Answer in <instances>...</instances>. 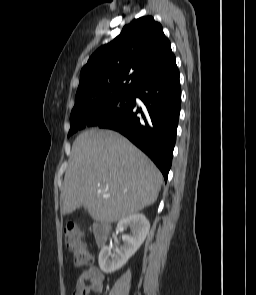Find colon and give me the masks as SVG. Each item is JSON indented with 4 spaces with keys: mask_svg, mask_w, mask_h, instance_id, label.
I'll list each match as a JSON object with an SVG mask.
<instances>
[{
    "mask_svg": "<svg viewBox=\"0 0 256 295\" xmlns=\"http://www.w3.org/2000/svg\"><path fill=\"white\" fill-rule=\"evenodd\" d=\"M64 242L68 250L72 253L73 264L77 267L92 263L90 253L82 243L83 232L74 223H67L63 229Z\"/></svg>",
    "mask_w": 256,
    "mask_h": 295,
    "instance_id": "1",
    "label": "colon"
}]
</instances>
